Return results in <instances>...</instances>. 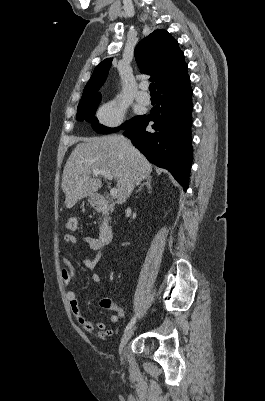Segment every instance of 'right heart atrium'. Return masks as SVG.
I'll use <instances>...</instances> for the list:
<instances>
[{
    "instance_id": "1",
    "label": "right heart atrium",
    "mask_w": 265,
    "mask_h": 401,
    "mask_svg": "<svg viewBox=\"0 0 265 401\" xmlns=\"http://www.w3.org/2000/svg\"><path fill=\"white\" fill-rule=\"evenodd\" d=\"M97 117L104 125L119 126L125 119V106L117 98H112L98 108Z\"/></svg>"
}]
</instances>
